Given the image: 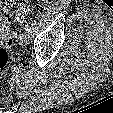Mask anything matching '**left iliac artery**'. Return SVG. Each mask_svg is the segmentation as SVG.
Listing matches in <instances>:
<instances>
[{
    "mask_svg": "<svg viewBox=\"0 0 113 113\" xmlns=\"http://www.w3.org/2000/svg\"><path fill=\"white\" fill-rule=\"evenodd\" d=\"M25 23H26L25 31H26V34H27L28 38H30L31 31L29 29L28 21H25Z\"/></svg>",
    "mask_w": 113,
    "mask_h": 113,
    "instance_id": "44dca946",
    "label": "left iliac artery"
}]
</instances>
